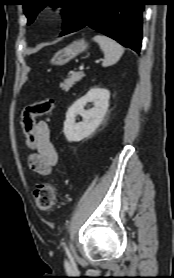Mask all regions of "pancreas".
<instances>
[{"instance_id": "obj_1", "label": "pancreas", "mask_w": 174, "mask_h": 278, "mask_svg": "<svg viewBox=\"0 0 174 278\" xmlns=\"http://www.w3.org/2000/svg\"><path fill=\"white\" fill-rule=\"evenodd\" d=\"M83 77L84 74L82 72L73 73L69 75L66 79H64L60 87L62 90L68 91L76 82L80 81Z\"/></svg>"}]
</instances>
